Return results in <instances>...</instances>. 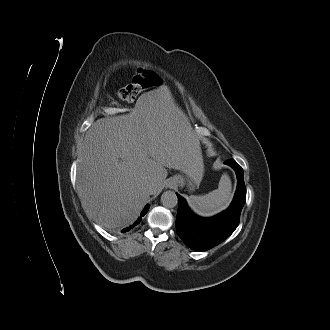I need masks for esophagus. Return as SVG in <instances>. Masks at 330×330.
Listing matches in <instances>:
<instances>
[{
  "label": "esophagus",
  "mask_w": 330,
  "mask_h": 330,
  "mask_svg": "<svg viewBox=\"0 0 330 330\" xmlns=\"http://www.w3.org/2000/svg\"><path fill=\"white\" fill-rule=\"evenodd\" d=\"M175 186L174 182L168 184V187L173 188Z\"/></svg>",
  "instance_id": "obj_1"
}]
</instances>
